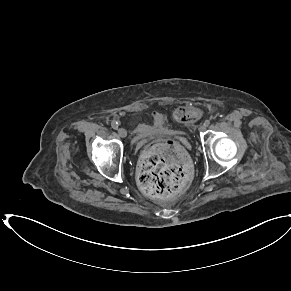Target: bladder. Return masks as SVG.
<instances>
[{
  "label": "bladder",
  "mask_w": 291,
  "mask_h": 291,
  "mask_svg": "<svg viewBox=\"0 0 291 291\" xmlns=\"http://www.w3.org/2000/svg\"><path fill=\"white\" fill-rule=\"evenodd\" d=\"M169 129L162 114H157L150 124L136 127V134L141 136H153L166 132Z\"/></svg>",
  "instance_id": "1"
}]
</instances>
